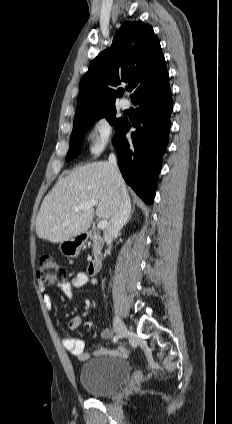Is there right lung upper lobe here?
Listing matches in <instances>:
<instances>
[{"label": "right lung upper lobe", "instance_id": "obj_1", "mask_svg": "<svg viewBox=\"0 0 232 424\" xmlns=\"http://www.w3.org/2000/svg\"><path fill=\"white\" fill-rule=\"evenodd\" d=\"M165 72L166 62L152 27L142 21L123 23L111 47L92 61L81 79L74 120L115 106L116 97L124 92L117 89L121 82L133 85L134 101L155 86Z\"/></svg>", "mask_w": 232, "mask_h": 424}]
</instances>
